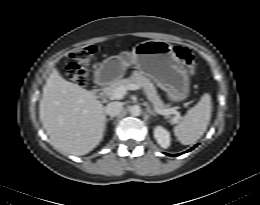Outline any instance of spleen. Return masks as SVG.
I'll return each mask as SVG.
<instances>
[{"instance_id": "1", "label": "spleen", "mask_w": 260, "mask_h": 205, "mask_svg": "<svg viewBox=\"0 0 260 205\" xmlns=\"http://www.w3.org/2000/svg\"><path fill=\"white\" fill-rule=\"evenodd\" d=\"M212 111L211 96L205 93L200 101L188 110L182 121L174 127V134L183 145L195 143L207 129Z\"/></svg>"}]
</instances>
